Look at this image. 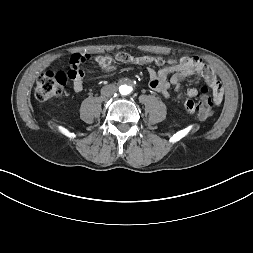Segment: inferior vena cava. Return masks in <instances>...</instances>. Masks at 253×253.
<instances>
[{
    "instance_id": "obj_1",
    "label": "inferior vena cava",
    "mask_w": 253,
    "mask_h": 253,
    "mask_svg": "<svg viewBox=\"0 0 253 253\" xmlns=\"http://www.w3.org/2000/svg\"><path fill=\"white\" fill-rule=\"evenodd\" d=\"M117 91V87L113 84L106 85L101 89V94L105 97L113 96Z\"/></svg>"
}]
</instances>
